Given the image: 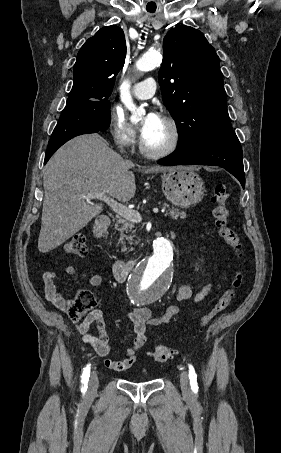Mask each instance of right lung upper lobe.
Segmentation results:
<instances>
[{"instance_id":"1","label":"right lung upper lobe","mask_w":281,"mask_h":453,"mask_svg":"<svg viewBox=\"0 0 281 453\" xmlns=\"http://www.w3.org/2000/svg\"><path fill=\"white\" fill-rule=\"evenodd\" d=\"M126 42L123 30L101 28L80 49L74 65V82L67 105L110 103L115 76L123 67Z\"/></svg>"}]
</instances>
